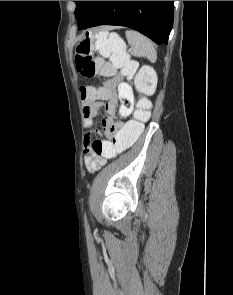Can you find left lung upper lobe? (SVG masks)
Here are the masks:
<instances>
[{"label":"left lung upper lobe","mask_w":233,"mask_h":295,"mask_svg":"<svg viewBox=\"0 0 233 295\" xmlns=\"http://www.w3.org/2000/svg\"><path fill=\"white\" fill-rule=\"evenodd\" d=\"M76 3L75 15L78 20L79 29L82 28L93 12L95 11L99 1H74Z\"/></svg>","instance_id":"obj_1"}]
</instances>
